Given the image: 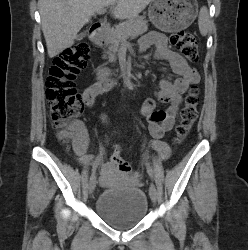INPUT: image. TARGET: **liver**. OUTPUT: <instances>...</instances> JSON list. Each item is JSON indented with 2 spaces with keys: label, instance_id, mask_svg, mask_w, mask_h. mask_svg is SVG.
Masks as SVG:
<instances>
[{
  "label": "liver",
  "instance_id": "liver-1",
  "mask_svg": "<svg viewBox=\"0 0 248 250\" xmlns=\"http://www.w3.org/2000/svg\"><path fill=\"white\" fill-rule=\"evenodd\" d=\"M152 0H39L41 26L50 58L72 46L98 10L113 6L117 19L137 17Z\"/></svg>",
  "mask_w": 248,
  "mask_h": 250
}]
</instances>
